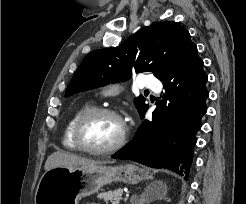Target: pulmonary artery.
Returning <instances> with one entry per match:
<instances>
[{"instance_id": "e3ab8cb5", "label": "pulmonary artery", "mask_w": 246, "mask_h": 204, "mask_svg": "<svg viewBox=\"0 0 246 204\" xmlns=\"http://www.w3.org/2000/svg\"><path fill=\"white\" fill-rule=\"evenodd\" d=\"M140 88L144 89H149L152 91H159L161 88L160 82L154 78L153 76L150 75H145L141 78L140 83H139ZM119 89L118 85H111L106 89L107 94H113L116 93Z\"/></svg>"}]
</instances>
